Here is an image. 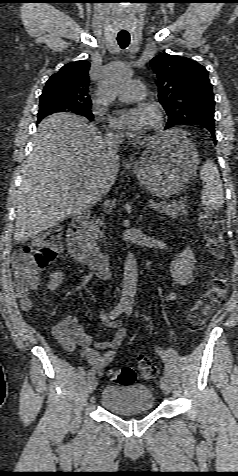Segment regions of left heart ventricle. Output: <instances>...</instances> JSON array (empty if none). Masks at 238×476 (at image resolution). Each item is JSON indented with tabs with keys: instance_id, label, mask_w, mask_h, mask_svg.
Masks as SVG:
<instances>
[{
	"instance_id": "1",
	"label": "left heart ventricle",
	"mask_w": 238,
	"mask_h": 476,
	"mask_svg": "<svg viewBox=\"0 0 238 476\" xmlns=\"http://www.w3.org/2000/svg\"><path fill=\"white\" fill-rule=\"evenodd\" d=\"M151 122H153V115H152V119H151Z\"/></svg>"
}]
</instances>
